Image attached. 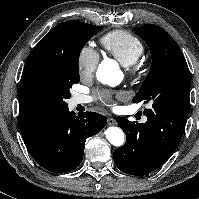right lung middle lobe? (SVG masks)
<instances>
[{
	"label": "right lung middle lobe",
	"mask_w": 199,
	"mask_h": 199,
	"mask_svg": "<svg viewBox=\"0 0 199 199\" xmlns=\"http://www.w3.org/2000/svg\"><path fill=\"white\" fill-rule=\"evenodd\" d=\"M103 27L77 20L60 23L45 37L23 76L22 88L34 102L55 111L67 108L70 88L80 81L79 55Z\"/></svg>",
	"instance_id": "obj_1"
}]
</instances>
